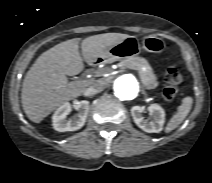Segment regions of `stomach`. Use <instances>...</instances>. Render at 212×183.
Returning a JSON list of instances; mask_svg holds the SVG:
<instances>
[{
  "mask_svg": "<svg viewBox=\"0 0 212 183\" xmlns=\"http://www.w3.org/2000/svg\"><path fill=\"white\" fill-rule=\"evenodd\" d=\"M167 47L166 41L156 35H147L142 38L141 44L135 36H128L105 52V61L113 62L135 57L141 49L150 53H162Z\"/></svg>",
  "mask_w": 212,
  "mask_h": 183,
  "instance_id": "0dacf381",
  "label": "stomach"
}]
</instances>
